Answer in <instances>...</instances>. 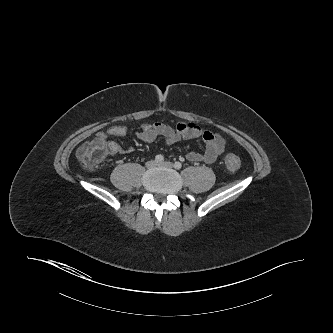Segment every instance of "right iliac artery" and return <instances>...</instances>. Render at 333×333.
<instances>
[{
	"mask_svg": "<svg viewBox=\"0 0 333 333\" xmlns=\"http://www.w3.org/2000/svg\"><path fill=\"white\" fill-rule=\"evenodd\" d=\"M155 161L157 163H162L164 161V157L162 155H156L155 156Z\"/></svg>",
	"mask_w": 333,
	"mask_h": 333,
	"instance_id": "right-iliac-artery-1",
	"label": "right iliac artery"
}]
</instances>
